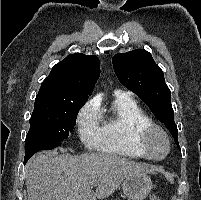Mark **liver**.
<instances>
[{
	"label": "liver",
	"mask_w": 201,
	"mask_h": 200,
	"mask_svg": "<svg viewBox=\"0 0 201 200\" xmlns=\"http://www.w3.org/2000/svg\"><path fill=\"white\" fill-rule=\"evenodd\" d=\"M151 174L143 163L104 153H39L26 166L27 200H96L110 196L132 175ZM97 182L94 192L92 182Z\"/></svg>",
	"instance_id": "1"
}]
</instances>
